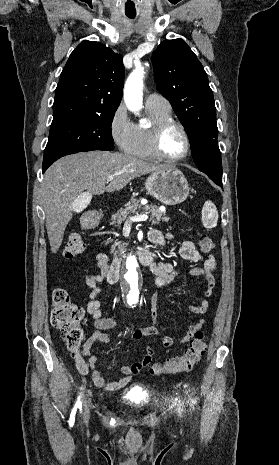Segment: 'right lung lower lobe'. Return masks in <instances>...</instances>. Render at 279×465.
<instances>
[{
  "instance_id": "98d812e1",
  "label": "right lung lower lobe",
  "mask_w": 279,
  "mask_h": 465,
  "mask_svg": "<svg viewBox=\"0 0 279 465\" xmlns=\"http://www.w3.org/2000/svg\"><path fill=\"white\" fill-rule=\"evenodd\" d=\"M92 150H106V149H102V148H99V149H98V148H89V149L86 150L85 152H87V151H92ZM48 167H49V166H45V167L42 166V171L45 172L46 169H47Z\"/></svg>"
}]
</instances>
